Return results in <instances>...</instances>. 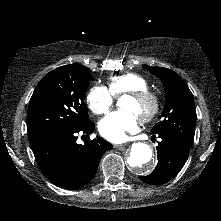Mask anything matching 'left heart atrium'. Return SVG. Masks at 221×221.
Instances as JSON below:
<instances>
[{
  "mask_svg": "<svg viewBox=\"0 0 221 221\" xmlns=\"http://www.w3.org/2000/svg\"><path fill=\"white\" fill-rule=\"evenodd\" d=\"M138 128V116L129 110L114 111L99 121V133L109 141L122 142Z\"/></svg>",
  "mask_w": 221,
  "mask_h": 221,
  "instance_id": "left-heart-atrium-1",
  "label": "left heart atrium"
}]
</instances>
